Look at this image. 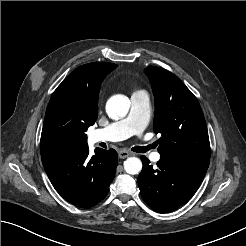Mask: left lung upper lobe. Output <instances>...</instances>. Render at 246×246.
Instances as JSON below:
<instances>
[{
	"mask_svg": "<svg viewBox=\"0 0 246 246\" xmlns=\"http://www.w3.org/2000/svg\"><path fill=\"white\" fill-rule=\"evenodd\" d=\"M155 98L154 131L160 154H182L210 158L206 122L197 98L173 73L148 66Z\"/></svg>",
	"mask_w": 246,
	"mask_h": 246,
	"instance_id": "5c2ea615",
	"label": "left lung upper lobe"
}]
</instances>
